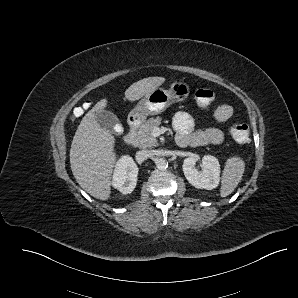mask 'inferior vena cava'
I'll list each match as a JSON object with an SVG mask.
<instances>
[{"mask_svg":"<svg viewBox=\"0 0 298 298\" xmlns=\"http://www.w3.org/2000/svg\"><path fill=\"white\" fill-rule=\"evenodd\" d=\"M152 155H153V152L150 150H140L136 152L135 157L138 162H143L148 158L152 157Z\"/></svg>","mask_w":298,"mask_h":298,"instance_id":"inferior-vena-cava-1","label":"inferior vena cava"}]
</instances>
